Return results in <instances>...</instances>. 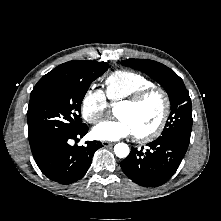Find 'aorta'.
<instances>
[{"instance_id":"1","label":"aorta","mask_w":221,"mask_h":221,"mask_svg":"<svg viewBox=\"0 0 221 221\" xmlns=\"http://www.w3.org/2000/svg\"><path fill=\"white\" fill-rule=\"evenodd\" d=\"M129 146L125 143H118L114 147L115 155L119 158H125L129 155Z\"/></svg>"}]
</instances>
